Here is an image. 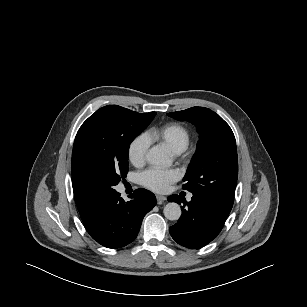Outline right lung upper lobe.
<instances>
[{"label":"right lung upper lobe","mask_w":307,"mask_h":307,"mask_svg":"<svg viewBox=\"0 0 307 307\" xmlns=\"http://www.w3.org/2000/svg\"><path fill=\"white\" fill-rule=\"evenodd\" d=\"M74 196L81 219H85L90 213V211L100 202V201H93V202L86 201L75 193Z\"/></svg>","instance_id":"obj_1"}]
</instances>
